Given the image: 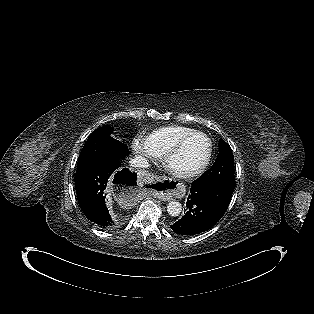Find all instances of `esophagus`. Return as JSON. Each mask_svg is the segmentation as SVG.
<instances>
[{
  "instance_id": "obj_1",
  "label": "esophagus",
  "mask_w": 314,
  "mask_h": 314,
  "mask_svg": "<svg viewBox=\"0 0 314 314\" xmlns=\"http://www.w3.org/2000/svg\"><path fill=\"white\" fill-rule=\"evenodd\" d=\"M174 183H176L175 180H173ZM171 180H169V185H171ZM167 189H171V186H166ZM184 187L182 185V183H177L176 184V189H171V190H168V193H165L162 195L160 194V198L163 200V201H169L172 199V197H175V198H182L184 196ZM158 194V193H157Z\"/></svg>"
}]
</instances>
